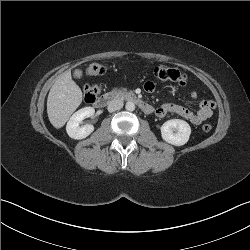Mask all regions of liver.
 Returning <instances> with one entry per match:
<instances>
[{
	"instance_id": "6515ba94",
	"label": "liver",
	"mask_w": 250,
	"mask_h": 250,
	"mask_svg": "<svg viewBox=\"0 0 250 250\" xmlns=\"http://www.w3.org/2000/svg\"><path fill=\"white\" fill-rule=\"evenodd\" d=\"M82 102V91L72 80L71 72L62 73L52 85L47 99L50 123L57 129L63 127Z\"/></svg>"
}]
</instances>
